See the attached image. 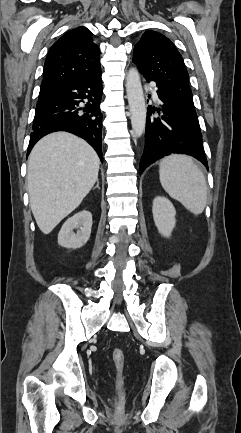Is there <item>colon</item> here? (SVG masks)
<instances>
[{
	"label": "colon",
	"mask_w": 241,
	"mask_h": 433,
	"mask_svg": "<svg viewBox=\"0 0 241 433\" xmlns=\"http://www.w3.org/2000/svg\"><path fill=\"white\" fill-rule=\"evenodd\" d=\"M112 358L113 361L115 363V366L117 368L118 371V375H117V379H116V386H117V390L118 393L120 394V396L123 395V389H124V378L122 375L123 372V368H124V362H125V357H124V353L121 349H114L112 352Z\"/></svg>",
	"instance_id": "5ec220e1"
}]
</instances>
